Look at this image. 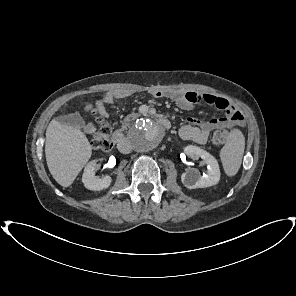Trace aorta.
<instances>
[{
	"mask_svg": "<svg viewBox=\"0 0 296 296\" xmlns=\"http://www.w3.org/2000/svg\"><path fill=\"white\" fill-rule=\"evenodd\" d=\"M163 137L162 127L148 118L138 119L128 132L131 147L138 152H147L156 148Z\"/></svg>",
	"mask_w": 296,
	"mask_h": 296,
	"instance_id": "aorta-1",
	"label": "aorta"
}]
</instances>
